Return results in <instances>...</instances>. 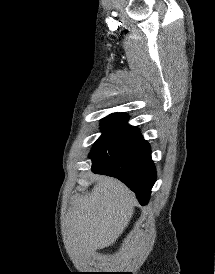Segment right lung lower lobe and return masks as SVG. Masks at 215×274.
Returning a JSON list of instances; mask_svg holds the SVG:
<instances>
[{
  "label": "right lung lower lobe",
  "instance_id": "right-lung-lower-lobe-1",
  "mask_svg": "<svg viewBox=\"0 0 215 274\" xmlns=\"http://www.w3.org/2000/svg\"><path fill=\"white\" fill-rule=\"evenodd\" d=\"M92 171L124 182L136 193L141 205L148 203L151 188L156 181L150 146L143 137L126 154L108 166L92 159Z\"/></svg>",
  "mask_w": 215,
  "mask_h": 274
}]
</instances>
